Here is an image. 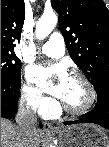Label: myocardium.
<instances>
[{
  "mask_svg": "<svg viewBox=\"0 0 109 147\" xmlns=\"http://www.w3.org/2000/svg\"><path fill=\"white\" fill-rule=\"evenodd\" d=\"M70 78L81 80L88 88L90 98H89V101L87 102L86 105H84L83 107L78 108V109H74V108L69 107L63 100H61V108H62V110H64L66 113H68L70 115H74V116L83 115V114L89 112L92 109V107L94 106L96 99H97L96 90H95L92 82L88 79V77L82 73L74 72L71 74Z\"/></svg>",
  "mask_w": 109,
  "mask_h": 147,
  "instance_id": "1",
  "label": "myocardium"
}]
</instances>
